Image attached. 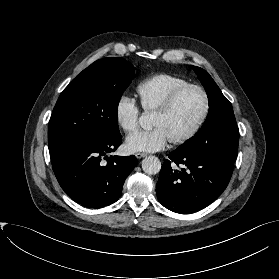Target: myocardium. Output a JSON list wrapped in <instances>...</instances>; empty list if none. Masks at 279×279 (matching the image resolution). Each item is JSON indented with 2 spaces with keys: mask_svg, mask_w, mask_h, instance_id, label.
Returning a JSON list of instances; mask_svg holds the SVG:
<instances>
[{
  "mask_svg": "<svg viewBox=\"0 0 279 279\" xmlns=\"http://www.w3.org/2000/svg\"><path fill=\"white\" fill-rule=\"evenodd\" d=\"M189 89H194L199 91L202 96H203V109L202 112L199 116V118L197 119V121L195 122V124L192 126V128L186 132L183 136L170 140V142L174 145H180V144H184L188 141H190L202 128L203 124L205 123L207 116L209 114V110H210V98L208 95V92L205 90V88H203L200 85L197 84H185L182 85L176 89H174L166 98V100L164 101V103L153 112V115H166L168 114L171 109L173 108L177 98L186 90Z\"/></svg>",
  "mask_w": 279,
  "mask_h": 279,
  "instance_id": "1",
  "label": "myocardium"
}]
</instances>
